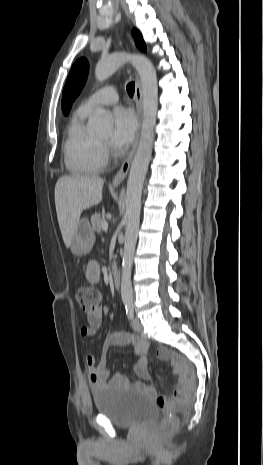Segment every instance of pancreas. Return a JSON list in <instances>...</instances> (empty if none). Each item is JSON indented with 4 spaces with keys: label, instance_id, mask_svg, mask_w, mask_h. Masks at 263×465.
<instances>
[{
    "label": "pancreas",
    "instance_id": "obj_1",
    "mask_svg": "<svg viewBox=\"0 0 263 465\" xmlns=\"http://www.w3.org/2000/svg\"><path fill=\"white\" fill-rule=\"evenodd\" d=\"M104 221V219L101 217L100 213H95L94 215L91 216V224L93 230L96 232L101 231V223Z\"/></svg>",
    "mask_w": 263,
    "mask_h": 465
}]
</instances>
